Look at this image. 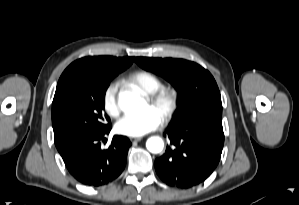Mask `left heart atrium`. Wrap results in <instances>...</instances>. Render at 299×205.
<instances>
[{
	"label": "left heart atrium",
	"mask_w": 299,
	"mask_h": 205,
	"mask_svg": "<svg viewBox=\"0 0 299 205\" xmlns=\"http://www.w3.org/2000/svg\"><path fill=\"white\" fill-rule=\"evenodd\" d=\"M161 121L160 115L153 108L148 107L137 115H126L120 118L115 125V130L125 136L141 137L158 128Z\"/></svg>",
	"instance_id": "obj_1"
}]
</instances>
